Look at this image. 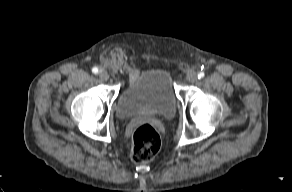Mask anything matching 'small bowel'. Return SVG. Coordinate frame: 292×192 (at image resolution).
I'll use <instances>...</instances> for the list:
<instances>
[{"mask_svg":"<svg viewBox=\"0 0 292 192\" xmlns=\"http://www.w3.org/2000/svg\"><path fill=\"white\" fill-rule=\"evenodd\" d=\"M124 146H125V148L130 149V148H132L133 143H132V141L127 140V141H125Z\"/></svg>","mask_w":292,"mask_h":192,"instance_id":"small-bowel-1","label":"small bowel"}]
</instances>
